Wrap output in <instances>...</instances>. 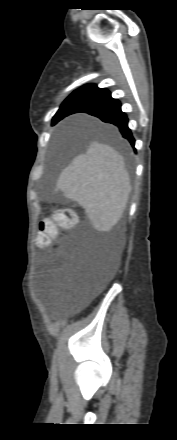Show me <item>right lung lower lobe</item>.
<instances>
[{"label":"right lung lower lobe","mask_w":177,"mask_h":440,"mask_svg":"<svg viewBox=\"0 0 177 440\" xmlns=\"http://www.w3.org/2000/svg\"><path fill=\"white\" fill-rule=\"evenodd\" d=\"M78 112L88 113L98 117L103 122L117 126L122 136L134 146L135 140L132 136L131 130L128 128V118L126 114L121 111V104L117 99H113L110 96L94 102Z\"/></svg>","instance_id":"1"}]
</instances>
